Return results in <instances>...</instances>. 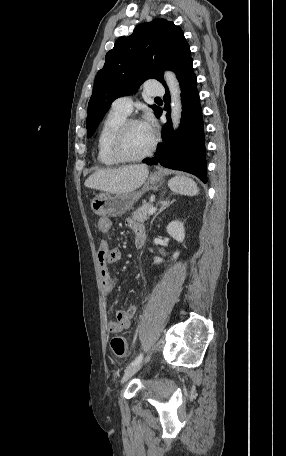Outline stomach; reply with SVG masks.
Wrapping results in <instances>:
<instances>
[{
  "label": "stomach",
  "mask_w": 286,
  "mask_h": 456,
  "mask_svg": "<svg viewBox=\"0 0 286 456\" xmlns=\"http://www.w3.org/2000/svg\"><path fill=\"white\" fill-rule=\"evenodd\" d=\"M162 182V175L159 172L152 173L143 188L123 194L102 193L94 197L90 202L91 210L99 216L118 217L129 210L133 204L147 190L157 189Z\"/></svg>",
  "instance_id": "0dacf381"
}]
</instances>
